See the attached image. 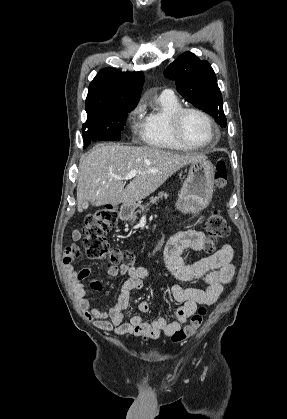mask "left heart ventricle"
Returning <instances> with one entry per match:
<instances>
[{
	"label": "left heart ventricle",
	"instance_id": "b2bd125f",
	"mask_svg": "<svg viewBox=\"0 0 287 419\" xmlns=\"http://www.w3.org/2000/svg\"><path fill=\"white\" fill-rule=\"evenodd\" d=\"M181 130L184 138L193 144H204L211 139V131L207 122L196 113L185 114Z\"/></svg>",
	"mask_w": 287,
	"mask_h": 419
}]
</instances>
